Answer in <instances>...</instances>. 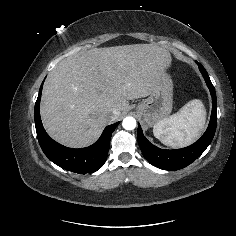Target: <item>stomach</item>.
<instances>
[{"label":"stomach","mask_w":236,"mask_h":236,"mask_svg":"<svg viewBox=\"0 0 236 236\" xmlns=\"http://www.w3.org/2000/svg\"><path fill=\"white\" fill-rule=\"evenodd\" d=\"M173 82L170 75L163 71L148 98L142 100L136 107L138 113L149 127L167 118L172 111Z\"/></svg>","instance_id":"0dacf381"}]
</instances>
